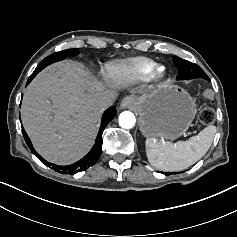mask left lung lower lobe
I'll use <instances>...</instances> for the list:
<instances>
[{
  "instance_id": "obj_1",
  "label": "left lung lower lobe",
  "mask_w": 237,
  "mask_h": 237,
  "mask_svg": "<svg viewBox=\"0 0 237 237\" xmlns=\"http://www.w3.org/2000/svg\"><path fill=\"white\" fill-rule=\"evenodd\" d=\"M165 175H169V173H164Z\"/></svg>"
}]
</instances>
